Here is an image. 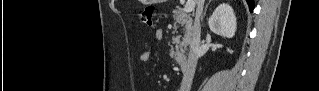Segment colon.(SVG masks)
Segmentation results:
<instances>
[{"mask_svg": "<svg viewBox=\"0 0 319 91\" xmlns=\"http://www.w3.org/2000/svg\"><path fill=\"white\" fill-rule=\"evenodd\" d=\"M155 13V7L154 6H147L144 8V10L141 13V22L148 26L152 27L154 22H153V15Z\"/></svg>", "mask_w": 319, "mask_h": 91, "instance_id": "obj_1", "label": "colon"}]
</instances>
